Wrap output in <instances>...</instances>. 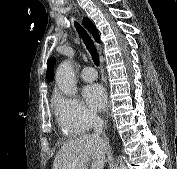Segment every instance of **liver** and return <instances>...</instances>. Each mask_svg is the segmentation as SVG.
Instances as JSON below:
<instances>
[{
    "mask_svg": "<svg viewBox=\"0 0 177 169\" xmlns=\"http://www.w3.org/2000/svg\"><path fill=\"white\" fill-rule=\"evenodd\" d=\"M109 143L86 134L64 144L54 158L52 169H102Z\"/></svg>",
    "mask_w": 177,
    "mask_h": 169,
    "instance_id": "6515ba94",
    "label": "liver"
}]
</instances>
